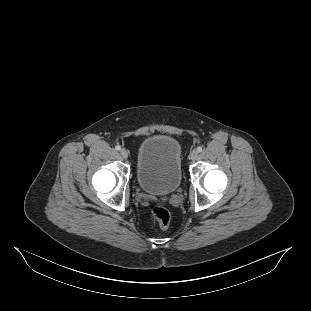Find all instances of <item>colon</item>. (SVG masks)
Returning <instances> with one entry per match:
<instances>
[{"instance_id":"colon-1","label":"colon","mask_w":311,"mask_h":311,"mask_svg":"<svg viewBox=\"0 0 311 311\" xmlns=\"http://www.w3.org/2000/svg\"><path fill=\"white\" fill-rule=\"evenodd\" d=\"M151 215L154 221L161 229H166L170 223V212L163 206H153L151 209Z\"/></svg>"}]
</instances>
